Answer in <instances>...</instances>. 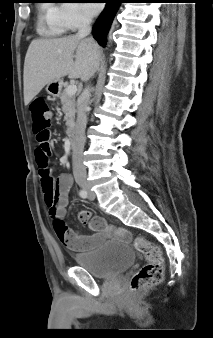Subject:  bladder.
Segmentation results:
<instances>
[{"label":"bladder","mask_w":213,"mask_h":338,"mask_svg":"<svg viewBox=\"0 0 213 338\" xmlns=\"http://www.w3.org/2000/svg\"><path fill=\"white\" fill-rule=\"evenodd\" d=\"M134 260L133 249L127 243H103L88 253L75 256L78 267L96 279H110L125 271Z\"/></svg>","instance_id":"31cf9c89"}]
</instances>
